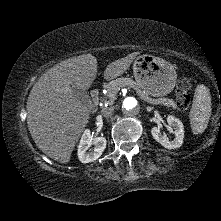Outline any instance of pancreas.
<instances>
[{"mask_svg":"<svg viewBox=\"0 0 221 221\" xmlns=\"http://www.w3.org/2000/svg\"><path fill=\"white\" fill-rule=\"evenodd\" d=\"M127 86L129 88H133L136 90L139 96L145 95L147 96L146 92L142 90V88L131 78H118L116 80L111 81L106 85L107 94L105 98L108 100L109 103H113L116 99V94L120 90L121 87ZM158 100L161 101V104L172 107L174 109L177 108V104L174 100L169 98H159Z\"/></svg>","mask_w":221,"mask_h":221,"instance_id":"1","label":"pancreas"}]
</instances>
